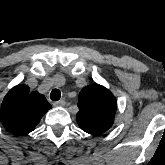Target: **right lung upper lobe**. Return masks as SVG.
Here are the masks:
<instances>
[{
	"mask_svg": "<svg viewBox=\"0 0 165 165\" xmlns=\"http://www.w3.org/2000/svg\"><path fill=\"white\" fill-rule=\"evenodd\" d=\"M51 108L44 95L17 85L3 99L0 120L10 133L20 136L32 132Z\"/></svg>",
	"mask_w": 165,
	"mask_h": 165,
	"instance_id": "obj_1",
	"label": "right lung upper lobe"
}]
</instances>
